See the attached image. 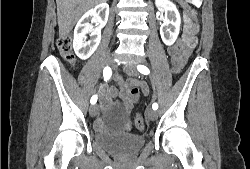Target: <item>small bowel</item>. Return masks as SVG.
I'll return each mask as SVG.
<instances>
[{
  "mask_svg": "<svg viewBox=\"0 0 250 169\" xmlns=\"http://www.w3.org/2000/svg\"><path fill=\"white\" fill-rule=\"evenodd\" d=\"M198 26L195 23H191L188 27V31L191 32V35L195 38L197 33ZM195 43H191L187 38V35L179 45L170 47L168 49V55L171 57L172 65L176 64L179 67L183 68L184 64L190 57L192 50L195 46ZM114 81L117 85V88L107 85L105 82L100 83L99 94L100 101L102 104L106 105L108 108L113 107L114 99L117 97L123 102V111L128 114L133 108V102L129 96V90L132 87H140L144 94L148 93V86L145 82L139 79H129L125 80L119 75L114 76ZM127 127L130 125L127 124ZM95 128L101 130L103 128V122L101 119H98L95 123Z\"/></svg>",
  "mask_w": 250,
  "mask_h": 169,
  "instance_id": "1",
  "label": "small bowel"
}]
</instances>
